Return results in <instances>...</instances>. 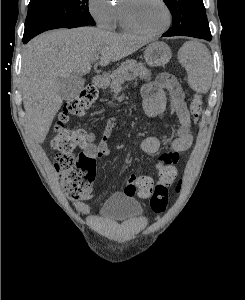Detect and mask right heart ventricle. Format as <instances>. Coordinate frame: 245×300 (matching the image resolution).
Returning <instances> with one entry per match:
<instances>
[{"instance_id":"right-heart-ventricle-1","label":"right heart ventricle","mask_w":245,"mask_h":300,"mask_svg":"<svg viewBox=\"0 0 245 300\" xmlns=\"http://www.w3.org/2000/svg\"><path fill=\"white\" fill-rule=\"evenodd\" d=\"M117 20L119 21L121 27H122L123 29L127 30V29L123 26V24H122L120 9H117Z\"/></svg>"}]
</instances>
